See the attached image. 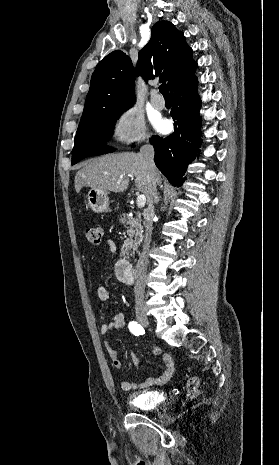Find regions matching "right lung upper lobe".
Returning a JSON list of instances; mask_svg holds the SVG:
<instances>
[{"label": "right lung upper lobe", "mask_w": 279, "mask_h": 465, "mask_svg": "<svg viewBox=\"0 0 279 465\" xmlns=\"http://www.w3.org/2000/svg\"><path fill=\"white\" fill-rule=\"evenodd\" d=\"M196 67L183 33L170 22H157L150 41L139 51L135 70L129 56L120 50L99 62L92 74L79 126L92 122L105 110L130 108L135 102V72L146 81L160 75L172 93L194 75Z\"/></svg>", "instance_id": "right-lung-upper-lobe-1"}]
</instances>
